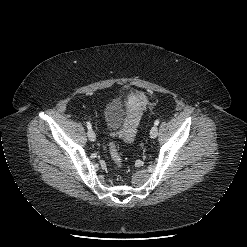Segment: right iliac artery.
<instances>
[{"mask_svg": "<svg viewBox=\"0 0 247 247\" xmlns=\"http://www.w3.org/2000/svg\"><path fill=\"white\" fill-rule=\"evenodd\" d=\"M86 125H87L88 130H90V129L92 128V126H91V123H90V122H87V123H86Z\"/></svg>", "mask_w": 247, "mask_h": 247, "instance_id": "right-iliac-artery-1", "label": "right iliac artery"}]
</instances>
